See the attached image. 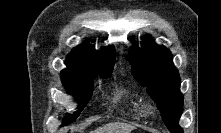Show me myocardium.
Listing matches in <instances>:
<instances>
[{
    "label": "myocardium",
    "instance_id": "myocardium-1",
    "mask_svg": "<svg viewBox=\"0 0 221 133\" xmlns=\"http://www.w3.org/2000/svg\"><path fill=\"white\" fill-rule=\"evenodd\" d=\"M146 110L149 114H153L155 112V106L153 104H147Z\"/></svg>",
    "mask_w": 221,
    "mask_h": 133
}]
</instances>
